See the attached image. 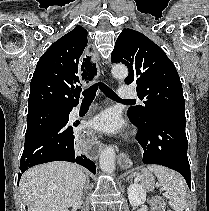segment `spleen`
I'll list each match as a JSON object with an SVG mask.
<instances>
[{"label":"spleen","instance_id":"spleen-1","mask_svg":"<svg viewBox=\"0 0 209 211\" xmlns=\"http://www.w3.org/2000/svg\"><path fill=\"white\" fill-rule=\"evenodd\" d=\"M148 170L153 172L169 196V205L174 211H183L186 207L187 188L183 177L177 172L158 165H151Z\"/></svg>","mask_w":209,"mask_h":211}]
</instances>
